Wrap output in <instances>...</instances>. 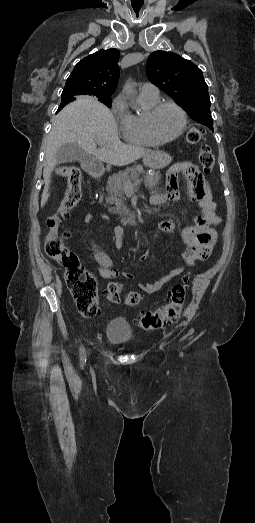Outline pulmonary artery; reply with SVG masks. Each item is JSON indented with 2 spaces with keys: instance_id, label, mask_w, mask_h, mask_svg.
I'll list each match as a JSON object with an SVG mask.
<instances>
[{
  "instance_id": "1",
  "label": "pulmonary artery",
  "mask_w": 255,
  "mask_h": 523,
  "mask_svg": "<svg viewBox=\"0 0 255 523\" xmlns=\"http://www.w3.org/2000/svg\"><path fill=\"white\" fill-rule=\"evenodd\" d=\"M140 92L147 95L152 96H158L159 95V89L157 86L151 83H144L142 87L140 88Z\"/></svg>"
}]
</instances>
